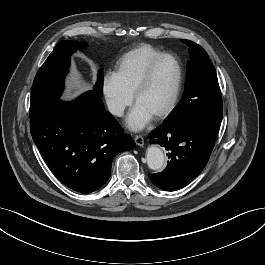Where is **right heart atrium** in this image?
Masks as SVG:
<instances>
[{
  "instance_id": "obj_1",
  "label": "right heart atrium",
  "mask_w": 265,
  "mask_h": 265,
  "mask_svg": "<svg viewBox=\"0 0 265 265\" xmlns=\"http://www.w3.org/2000/svg\"><path fill=\"white\" fill-rule=\"evenodd\" d=\"M102 93L108 111L115 117H121L132 102L131 96L120 87L112 74L104 76Z\"/></svg>"
}]
</instances>
